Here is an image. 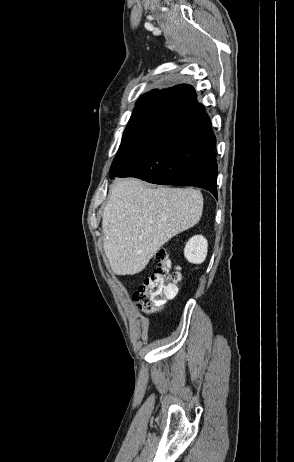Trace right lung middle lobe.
I'll return each instance as SVG.
<instances>
[{"label": "right lung middle lobe", "instance_id": "right-lung-middle-lobe-1", "mask_svg": "<svg viewBox=\"0 0 294 462\" xmlns=\"http://www.w3.org/2000/svg\"><path fill=\"white\" fill-rule=\"evenodd\" d=\"M187 105L186 100L175 96L137 105L112 163L111 175L125 167L143 147L162 134Z\"/></svg>", "mask_w": 294, "mask_h": 462}]
</instances>
